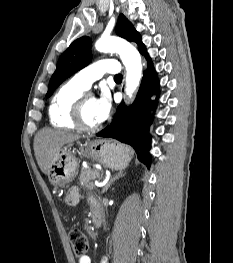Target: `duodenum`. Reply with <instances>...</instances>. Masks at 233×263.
<instances>
[{
	"label": "duodenum",
	"instance_id": "obj_1",
	"mask_svg": "<svg viewBox=\"0 0 233 263\" xmlns=\"http://www.w3.org/2000/svg\"><path fill=\"white\" fill-rule=\"evenodd\" d=\"M91 209H92L94 224L96 226H100L102 223V216H101V211H100L98 203L96 202L91 203Z\"/></svg>",
	"mask_w": 233,
	"mask_h": 263
}]
</instances>
